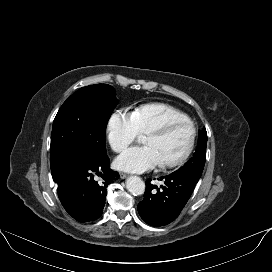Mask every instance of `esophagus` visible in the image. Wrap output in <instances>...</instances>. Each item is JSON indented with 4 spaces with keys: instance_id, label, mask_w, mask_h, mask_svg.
<instances>
[{
    "instance_id": "esophagus-1",
    "label": "esophagus",
    "mask_w": 272,
    "mask_h": 272,
    "mask_svg": "<svg viewBox=\"0 0 272 272\" xmlns=\"http://www.w3.org/2000/svg\"><path fill=\"white\" fill-rule=\"evenodd\" d=\"M129 175L128 174H125V173H120V178L121 179H126Z\"/></svg>"
}]
</instances>
